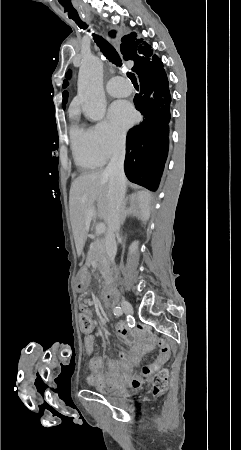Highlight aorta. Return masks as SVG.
Masks as SVG:
<instances>
[{
    "instance_id": "1",
    "label": "aorta",
    "mask_w": 241,
    "mask_h": 450,
    "mask_svg": "<svg viewBox=\"0 0 241 450\" xmlns=\"http://www.w3.org/2000/svg\"><path fill=\"white\" fill-rule=\"evenodd\" d=\"M102 83V62L96 57L85 59L78 74V96L85 116L92 121H99L105 115L106 100Z\"/></svg>"
}]
</instances>
